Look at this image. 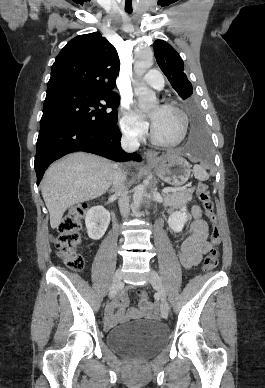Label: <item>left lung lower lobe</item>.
I'll list each match as a JSON object with an SVG mask.
<instances>
[{
  "mask_svg": "<svg viewBox=\"0 0 265 388\" xmlns=\"http://www.w3.org/2000/svg\"><path fill=\"white\" fill-rule=\"evenodd\" d=\"M190 131L184 150L192 157L202 160L210 158V142L200 111L197 108L189 110Z\"/></svg>",
  "mask_w": 265,
  "mask_h": 388,
  "instance_id": "obj_1",
  "label": "left lung lower lobe"
}]
</instances>
